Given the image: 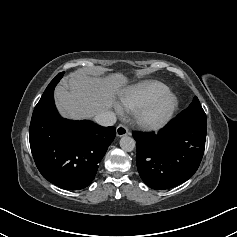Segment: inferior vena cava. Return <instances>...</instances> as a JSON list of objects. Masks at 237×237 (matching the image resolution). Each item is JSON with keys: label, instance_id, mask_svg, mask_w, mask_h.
Returning a JSON list of instances; mask_svg holds the SVG:
<instances>
[{"label": "inferior vena cava", "instance_id": "1", "mask_svg": "<svg viewBox=\"0 0 237 237\" xmlns=\"http://www.w3.org/2000/svg\"><path fill=\"white\" fill-rule=\"evenodd\" d=\"M94 120L97 124L101 126H112L116 123V115L112 111H105L102 113L97 114L94 117Z\"/></svg>", "mask_w": 237, "mask_h": 237}]
</instances>
